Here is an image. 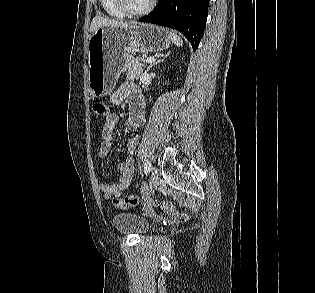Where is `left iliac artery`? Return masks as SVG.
Here are the masks:
<instances>
[{
    "label": "left iliac artery",
    "instance_id": "left-iliac-artery-1",
    "mask_svg": "<svg viewBox=\"0 0 315 293\" xmlns=\"http://www.w3.org/2000/svg\"><path fill=\"white\" fill-rule=\"evenodd\" d=\"M150 170H151V164H150V162L147 159H145L144 160V171H145V174H148L150 172Z\"/></svg>",
    "mask_w": 315,
    "mask_h": 293
}]
</instances>
